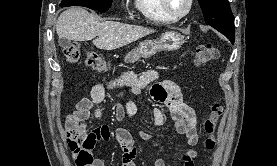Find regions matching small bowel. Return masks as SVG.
Listing matches in <instances>:
<instances>
[{
    "label": "small bowel",
    "instance_id": "c3829d8e",
    "mask_svg": "<svg viewBox=\"0 0 277 166\" xmlns=\"http://www.w3.org/2000/svg\"><path fill=\"white\" fill-rule=\"evenodd\" d=\"M158 72L153 69L137 74L127 71L117 77L106 79L95 84L89 98H82L76 105L75 111L67 118V123L74 121L84 122L88 119L90 111L93 109L94 116L100 120L102 111L100 109L106 93L109 90L117 91V101L115 105V116L117 121H122L126 117H132L137 113V105L130 97L139 95L144 89L150 87V95L153 100L164 105L174 121V126L189 146L181 155V166H194V159L197 156L193 148L198 143L197 119L192 108H190L182 98L178 84L172 80L157 82ZM128 96L127 102L123 105L119 98ZM166 116L161 108H156L153 112L155 125L160 126L165 122ZM115 137L122 149V166H136L135 158L137 148L133 134L122 127H116ZM138 137L144 141H149L153 135L147 131L140 130ZM111 131L107 125H100L91 132L86 133L85 141L81 145V152L91 158V162L86 166H105L103 158H94L93 151L99 141H109ZM152 166H170L161 158L153 160Z\"/></svg>",
    "mask_w": 277,
    "mask_h": 166
}]
</instances>
